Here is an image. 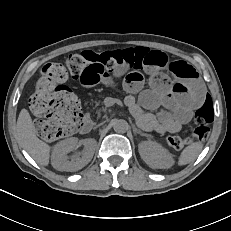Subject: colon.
I'll return each mask as SVG.
<instances>
[{"label": "colon", "mask_w": 231, "mask_h": 231, "mask_svg": "<svg viewBox=\"0 0 231 231\" xmlns=\"http://www.w3.org/2000/svg\"><path fill=\"white\" fill-rule=\"evenodd\" d=\"M155 58L149 49L136 47L124 50L103 52L83 51L71 54L66 65L47 63L41 69L36 90L29 100L32 112L41 118L36 125L38 135L46 141L71 135L79 129L83 122V114L78 100L71 90L64 85L69 75L79 79L86 68L97 65L107 70H142ZM177 79L183 78L178 69H170ZM177 87L184 90L183 81L176 82ZM213 119V109L209 102L195 112V127L189 137L172 135L167 137V143L180 150L194 142H202L208 138L209 125Z\"/></svg>", "instance_id": "1"}]
</instances>
